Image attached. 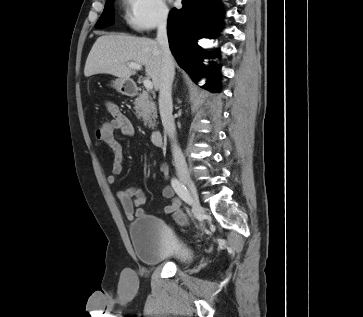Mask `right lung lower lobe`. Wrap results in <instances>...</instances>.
Wrapping results in <instances>:
<instances>
[{"mask_svg": "<svg viewBox=\"0 0 363 317\" xmlns=\"http://www.w3.org/2000/svg\"><path fill=\"white\" fill-rule=\"evenodd\" d=\"M181 10L173 9L168 19V39L170 49L178 64L197 82L203 76L208 80L204 88L219 91V71L204 73L203 50L197 40L204 35L214 34L222 12L215 0H182Z\"/></svg>", "mask_w": 363, "mask_h": 317, "instance_id": "98d812e1", "label": "right lung lower lobe"}]
</instances>
